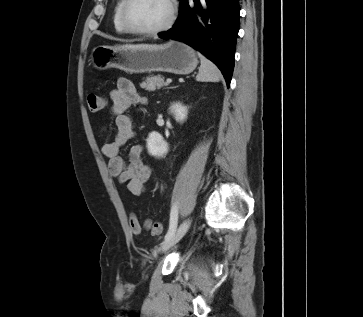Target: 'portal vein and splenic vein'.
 <instances>
[{
	"mask_svg": "<svg viewBox=\"0 0 363 317\" xmlns=\"http://www.w3.org/2000/svg\"><path fill=\"white\" fill-rule=\"evenodd\" d=\"M172 82V79H170V78H168L167 80H166V83L167 84H170Z\"/></svg>",
	"mask_w": 363,
	"mask_h": 317,
	"instance_id": "portal-vein-and-splenic-vein-1",
	"label": "portal vein and splenic vein"
}]
</instances>
